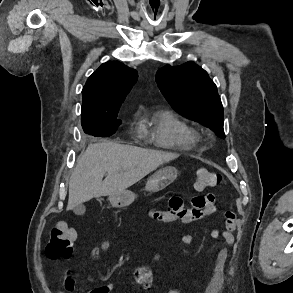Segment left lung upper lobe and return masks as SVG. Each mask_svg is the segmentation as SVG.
<instances>
[{
	"label": "left lung upper lobe",
	"mask_w": 293,
	"mask_h": 293,
	"mask_svg": "<svg viewBox=\"0 0 293 293\" xmlns=\"http://www.w3.org/2000/svg\"><path fill=\"white\" fill-rule=\"evenodd\" d=\"M156 82L178 113L225 138L223 106L217 87L205 70L192 61L176 67L166 65L157 72Z\"/></svg>",
	"instance_id": "obj_1"
}]
</instances>
